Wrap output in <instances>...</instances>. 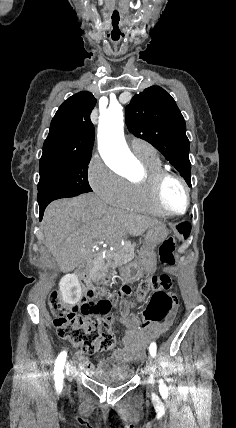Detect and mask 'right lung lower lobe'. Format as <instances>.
Wrapping results in <instances>:
<instances>
[{
    "instance_id": "98d812e1",
    "label": "right lung lower lobe",
    "mask_w": 236,
    "mask_h": 428,
    "mask_svg": "<svg viewBox=\"0 0 236 428\" xmlns=\"http://www.w3.org/2000/svg\"><path fill=\"white\" fill-rule=\"evenodd\" d=\"M49 203H50V202H47V203H44V204L39 205V207H40V216H39L40 220L42 219L43 214H44V210H45V208L47 207V205H48Z\"/></svg>"
}]
</instances>
